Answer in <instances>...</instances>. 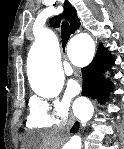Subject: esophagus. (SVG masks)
Returning a JSON list of instances; mask_svg holds the SVG:
<instances>
[{"instance_id":"1","label":"esophagus","mask_w":124,"mask_h":149,"mask_svg":"<svg viewBox=\"0 0 124 149\" xmlns=\"http://www.w3.org/2000/svg\"><path fill=\"white\" fill-rule=\"evenodd\" d=\"M71 122H72V120H71V121H69V122L67 123V125H66V129H67V130H68V128H69V126H70Z\"/></svg>"}]
</instances>
